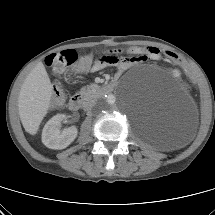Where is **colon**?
I'll list each match as a JSON object with an SVG mask.
<instances>
[{
  "label": "colon",
  "instance_id": "1",
  "mask_svg": "<svg viewBox=\"0 0 215 215\" xmlns=\"http://www.w3.org/2000/svg\"><path fill=\"white\" fill-rule=\"evenodd\" d=\"M163 55L175 62L178 67L184 69L188 75L190 82L197 81V75L194 73L192 66L181 58L180 55L173 53L170 50H165ZM46 64L53 69L55 72H61L66 67L73 65L70 68L69 73L71 76H83L86 74L87 70L91 68L92 61L89 56H82L78 60V54L75 50L68 49L61 51L59 53H54L46 58ZM183 71V73H184ZM185 74V75H186ZM194 86V84H193ZM63 104V92L59 83L54 85V96L52 100L53 108H58Z\"/></svg>",
  "mask_w": 215,
  "mask_h": 215
}]
</instances>
